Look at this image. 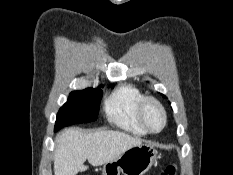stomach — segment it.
Here are the masks:
<instances>
[{
    "mask_svg": "<svg viewBox=\"0 0 233 175\" xmlns=\"http://www.w3.org/2000/svg\"><path fill=\"white\" fill-rule=\"evenodd\" d=\"M157 150L150 143L133 146L118 158L104 164L103 175H143L153 165L157 157Z\"/></svg>",
    "mask_w": 233,
    "mask_h": 175,
    "instance_id": "obj_1",
    "label": "stomach"
}]
</instances>
